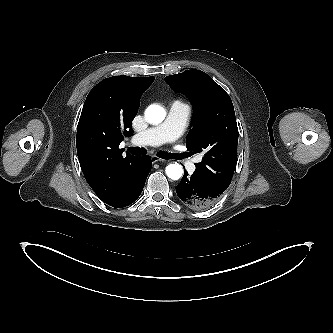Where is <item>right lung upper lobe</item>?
I'll use <instances>...</instances> for the list:
<instances>
[{
    "instance_id": "obj_1",
    "label": "right lung upper lobe",
    "mask_w": 333,
    "mask_h": 333,
    "mask_svg": "<svg viewBox=\"0 0 333 333\" xmlns=\"http://www.w3.org/2000/svg\"><path fill=\"white\" fill-rule=\"evenodd\" d=\"M155 77L114 76L102 80L88 94L78 122L76 146L86 181L109 204L122 193L130 166L138 156H122L124 136L133 135L131 123L140 98Z\"/></svg>"
}]
</instances>
